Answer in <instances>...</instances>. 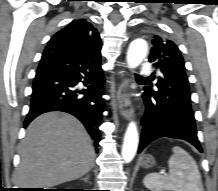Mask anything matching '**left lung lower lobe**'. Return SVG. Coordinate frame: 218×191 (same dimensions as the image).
<instances>
[{
    "instance_id": "0a47b994",
    "label": "left lung lower lobe",
    "mask_w": 218,
    "mask_h": 191,
    "mask_svg": "<svg viewBox=\"0 0 218 191\" xmlns=\"http://www.w3.org/2000/svg\"><path fill=\"white\" fill-rule=\"evenodd\" d=\"M143 99L146 110L138 152L159 137L184 139L202 152L191 104L175 97L170 100L149 87L144 88Z\"/></svg>"
}]
</instances>
